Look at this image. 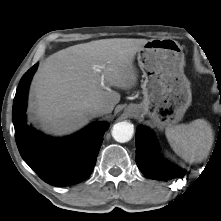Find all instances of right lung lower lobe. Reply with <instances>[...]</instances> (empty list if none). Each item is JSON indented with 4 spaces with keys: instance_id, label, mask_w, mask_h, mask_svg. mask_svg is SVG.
Returning a JSON list of instances; mask_svg holds the SVG:
<instances>
[{
    "instance_id": "right-lung-lower-lobe-1",
    "label": "right lung lower lobe",
    "mask_w": 221,
    "mask_h": 221,
    "mask_svg": "<svg viewBox=\"0 0 221 221\" xmlns=\"http://www.w3.org/2000/svg\"><path fill=\"white\" fill-rule=\"evenodd\" d=\"M37 64L22 77L13 102L15 139L23 160L46 183L68 186L85 180L92 172L108 123H94L66 138L43 135L26 122V101Z\"/></svg>"
}]
</instances>
